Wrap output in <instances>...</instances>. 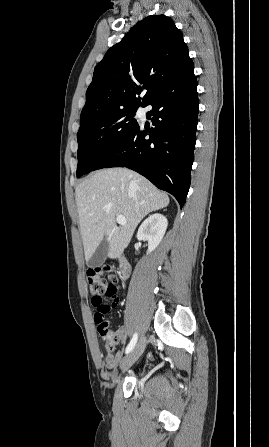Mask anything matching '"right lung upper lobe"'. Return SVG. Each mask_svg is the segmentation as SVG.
Instances as JSON below:
<instances>
[{
	"instance_id": "1",
	"label": "right lung upper lobe",
	"mask_w": 269,
	"mask_h": 447,
	"mask_svg": "<svg viewBox=\"0 0 269 447\" xmlns=\"http://www.w3.org/2000/svg\"><path fill=\"white\" fill-rule=\"evenodd\" d=\"M191 61L183 35L169 17H146L96 65L86 92L80 127L106 112L143 105ZM144 89L147 90L144 96L137 98Z\"/></svg>"
}]
</instances>
